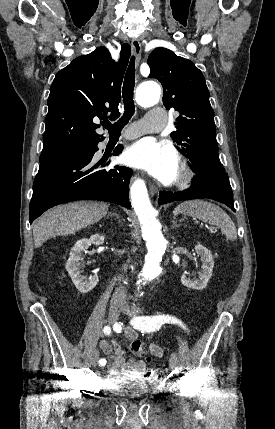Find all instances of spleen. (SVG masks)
I'll use <instances>...</instances> for the list:
<instances>
[{
	"instance_id": "3e777b00",
	"label": "spleen",
	"mask_w": 275,
	"mask_h": 429,
	"mask_svg": "<svg viewBox=\"0 0 275 429\" xmlns=\"http://www.w3.org/2000/svg\"><path fill=\"white\" fill-rule=\"evenodd\" d=\"M174 214H184L216 225L221 229L227 240L237 238V230L229 215L219 206L204 200H190L178 205Z\"/></svg>"
}]
</instances>
